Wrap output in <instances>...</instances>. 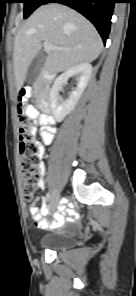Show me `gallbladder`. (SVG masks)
<instances>
[{"label":"gallbladder","mask_w":136,"mask_h":296,"mask_svg":"<svg viewBox=\"0 0 136 296\" xmlns=\"http://www.w3.org/2000/svg\"><path fill=\"white\" fill-rule=\"evenodd\" d=\"M43 61H44L43 53H38L35 56V58L31 61L26 74V80L28 82L33 83L37 80L41 72Z\"/></svg>","instance_id":"obj_1"}]
</instances>
